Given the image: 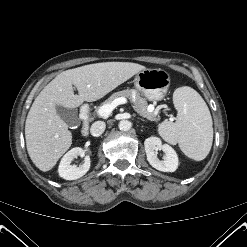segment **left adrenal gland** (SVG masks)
I'll return each instance as SVG.
<instances>
[{
	"label": "left adrenal gland",
	"mask_w": 247,
	"mask_h": 247,
	"mask_svg": "<svg viewBox=\"0 0 247 247\" xmlns=\"http://www.w3.org/2000/svg\"><path fill=\"white\" fill-rule=\"evenodd\" d=\"M140 120L144 121V119L140 118Z\"/></svg>",
	"instance_id": "obj_1"
}]
</instances>
